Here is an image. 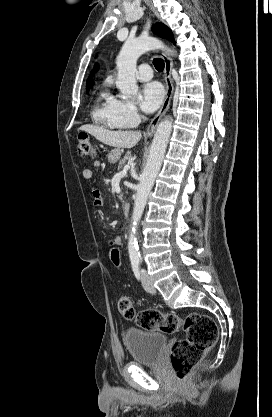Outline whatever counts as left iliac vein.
I'll return each instance as SVG.
<instances>
[{"mask_svg":"<svg viewBox=\"0 0 272 417\" xmlns=\"http://www.w3.org/2000/svg\"><path fill=\"white\" fill-rule=\"evenodd\" d=\"M141 277L143 288L149 293H154L156 290L151 281L149 280L147 272L144 269L141 271Z\"/></svg>","mask_w":272,"mask_h":417,"instance_id":"1","label":"left iliac vein"}]
</instances>
